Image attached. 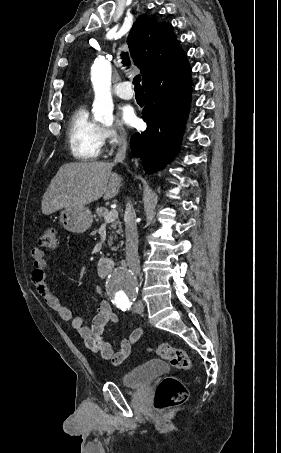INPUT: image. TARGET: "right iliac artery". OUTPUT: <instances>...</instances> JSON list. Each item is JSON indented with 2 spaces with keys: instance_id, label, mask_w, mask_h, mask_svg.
Instances as JSON below:
<instances>
[{
  "instance_id": "82829eb1",
  "label": "right iliac artery",
  "mask_w": 281,
  "mask_h": 453,
  "mask_svg": "<svg viewBox=\"0 0 281 453\" xmlns=\"http://www.w3.org/2000/svg\"><path fill=\"white\" fill-rule=\"evenodd\" d=\"M121 309H122L123 311H125V310H126V306L121 307Z\"/></svg>"
}]
</instances>
